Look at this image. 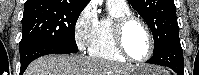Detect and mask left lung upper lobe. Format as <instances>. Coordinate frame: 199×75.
<instances>
[{
    "instance_id": "5c2ea615",
    "label": "left lung upper lobe",
    "mask_w": 199,
    "mask_h": 75,
    "mask_svg": "<svg viewBox=\"0 0 199 75\" xmlns=\"http://www.w3.org/2000/svg\"><path fill=\"white\" fill-rule=\"evenodd\" d=\"M128 2L142 16L153 34V55L179 41V27L173 0H128Z\"/></svg>"
}]
</instances>
